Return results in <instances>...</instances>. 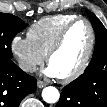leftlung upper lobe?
<instances>
[{"instance_id":"1","label":"left lung upper lobe","mask_w":107,"mask_h":107,"mask_svg":"<svg viewBox=\"0 0 107 107\" xmlns=\"http://www.w3.org/2000/svg\"><path fill=\"white\" fill-rule=\"evenodd\" d=\"M87 13L95 30V38H96L95 52L84 74H82L76 80L73 81L75 84L87 85L86 88H88L92 82L94 69L98 64L97 61H98L99 52L102 51L105 54L106 64H107V30L103 26L101 21L92 12L87 11Z\"/></svg>"}]
</instances>
